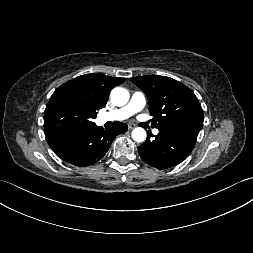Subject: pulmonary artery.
<instances>
[{"mask_svg": "<svg viewBox=\"0 0 253 253\" xmlns=\"http://www.w3.org/2000/svg\"><path fill=\"white\" fill-rule=\"evenodd\" d=\"M146 105L145 95L140 91H135L129 100V102L112 112H106L99 116V122L105 123L108 121H122L125 120L137 112L141 111ZM154 134H158V129L153 130Z\"/></svg>", "mask_w": 253, "mask_h": 253, "instance_id": "pulmonary-artery-1", "label": "pulmonary artery"}]
</instances>
